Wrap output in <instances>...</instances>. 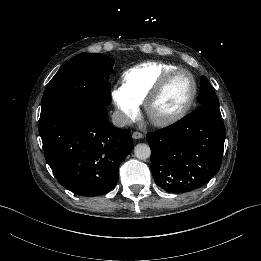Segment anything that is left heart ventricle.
Here are the masks:
<instances>
[{"instance_id": "b2bd125f", "label": "left heart ventricle", "mask_w": 261, "mask_h": 261, "mask_svg": "<svg viewBox=\"0 0 261 261\" xmlns=\"http://www.w3.org/2000/svg\"><path fill=\"white\" fill-rule=\"evenodd\" d=\"M192 93V84L186 74L175 75L161 99L153 109L157 117H165L178 112L188 101Z\"/></svg>"}]
</instances>
